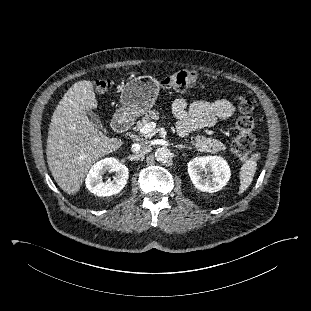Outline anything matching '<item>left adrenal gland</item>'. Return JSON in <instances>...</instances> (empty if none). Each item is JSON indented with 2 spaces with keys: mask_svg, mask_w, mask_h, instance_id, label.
I'll return each mask as SVG.
<instances>
[{
  "mask_svg": "<svg viewBox=\"0 0 311 311\" xmlns=\"http://www.w3.org/2000/svg\"><path fill=\"white\" fill-rule=\"evenodd\" d=\"M175 147L178 148V149H183V148L192 149L191 146L183 145V144H177Z\"/></svg>",
  "mask_w": 311,
  "mask_h": 311,
  "instance_id": "left-adrenal-gland-1",
  "label": "left adrenal gland"
}]
</instances>
